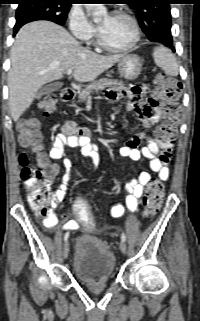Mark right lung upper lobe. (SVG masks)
<instances>
[{
    "instance_id": "1",
    "label": "right lung upper lobe",
    "mask_w": 200,
    "mask_h": 321,
    "mask_svg": "<svg viewBox=\"0 0 200 321\" xmlns=\"http://www.w3.org/2000/svg\"><path fill=\"white\" fill-rule=\"evenodd\" d=\"M19 1H24V0H19ZM62 1H66V2H73L74 0H62Z\"/></svg>"
}]
</instances>
